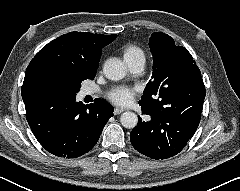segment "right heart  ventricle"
<instances>
[{"mask_svg": "<svg viewBox=\"0 0 240 191\" xmlns=\"http://www.w3.org/2000/svg\"><path fill=\"white\" fill-rule=\"evenodd\" d=\"M122 53L125 61L129 59L138 58V57H142L145 59L143 50L140 47L135 45L125 46Z\"/></svg>", "mask_w": 240, "mask_h": 191, "instance_id": "obj_1", "label": "right heart ventricle"}]
</instances>
